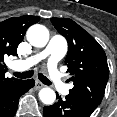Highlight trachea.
Here are the masks:
<instances>
[{"mask_svg": "<svg viewBox=\"0 0 117 117\" xmlns=\"http://www.w3.org/2000/svg\"><path fill=\"white\" fill-rule=\"evenodd\" d=\"M34 74V71L33 70H29V71H26V72H23V73H19V72H14L13 75L17 78H20V79H27V78H30L32 77ZM38 78L39 80L45 84V85H51V82L49 79H47L43 74L39 73L38 74Z\"/></svg>", "mask_w": 117, "mask_h": 117, "instance_id": "trachea-1", "label": "trachea"}]
</instances>
